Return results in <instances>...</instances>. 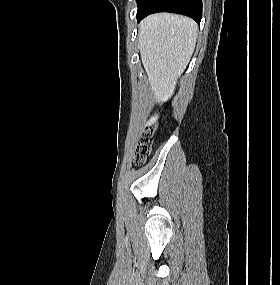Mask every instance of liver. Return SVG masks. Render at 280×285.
<instances>
[{
    "label": "liver",
    "mask_w": 280,
    "mask_h": 285,
    "mask_svg": "<svg viewBox=\"0 0 280 285\" xmlns=\"http://www.w3.org/2000/svg\"><path fill=\"white\" fill-rule=\"evenodd\" d=\"M138 48L155 102H166L173 94L177 77L193 54L196 23L185 16L157 13L139 25ZM158 115L148 121L155 122Z\"/></svg>",
    "instance_id": "obj_1"
}]
</instances>
